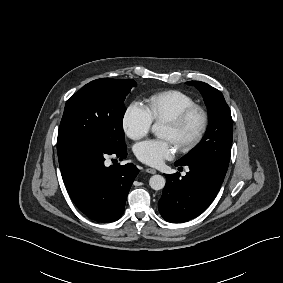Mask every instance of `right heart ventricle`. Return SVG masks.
Masks as SVG:
<instances>
[{
    "label": "right heart ventricle",
    "mask_w": 283,
    "mask_h": 283,
    "mask_svg": "<svg viewBox=\"0 0 283 283\" xmlns=\"http://www.w3.org/2000/svg\"><path fill=\"white\" fill-rule=\"evenodd\" d=\"M194 104L191 96L180 90H166L149 96L146 109L153 122L160 123L173 118Z\"/></svg>",
    "instance_id": "e07e8e85"
}]
</instances>
